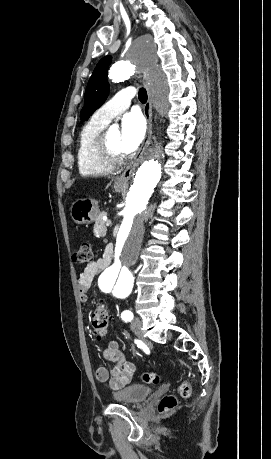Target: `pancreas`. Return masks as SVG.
Masks as SVG:
<instances>
[{"label": "pancreas", "mask_w": 271, "mask_h": 459, "mask_svg": "<svg viewBox=\"0 0 271 459\" xmlns=\"http://www.w3.org/2000/svg\"><path fill=\"white\" fill-rule=\"evenodd\" d=\"M107 222L108 221L106 219L102 220V218H97L96 224L94 226V233L97 239H103L105 237V233L107 231Z\"/></svg>", "instance_id": "cf45deb5"}]
</instances>
